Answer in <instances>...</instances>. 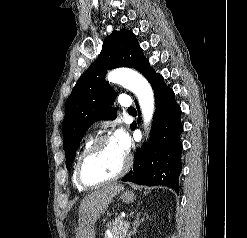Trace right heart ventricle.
<instances>
[{"label":"right heart ventricle","instance_id":"obj_1","mask_svg":"<svg viewBox=\"0 0 247 238\" xmlns=\"http://www.w3.org/2000/svg\"><path fill=\"white\" fill-rule=\"evenodd\" d=\"M92 141H93L92 137H89V138L85 141V143H84V145H83V148H82V150H81L79 156L77 157L76 163H75V165H74V169H73V173H72V181H73L74 186H75L76 188H78L79 190H85L86 188H84L83 186H81V185L78 183L77 179H76V165H77V162H78V160H79V157H80L81 154L85 151V149L91 144Z\"/></svg>","mask_w":247,"mask_h":238}]
</instances>
